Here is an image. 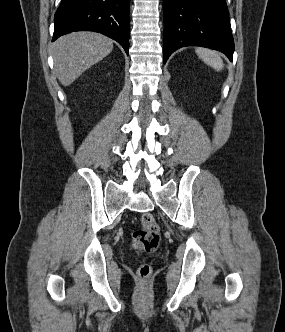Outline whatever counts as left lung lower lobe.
<instances>
[{"label":"left lung lower lobe","instance_id":"obj_1","mask_svg":"<svg viewBox=\"0 0 285 332\" xmlns=\"http://www.w3.org/2000/svg\"><path fill=\"white\" fill-rule=\"evenodd\" d=\"M164 63L178 48L202 46L231 61L234 41L226 0H163Z\"/></svg>","mask_w":285,"mask_h":332}]
</instances>
